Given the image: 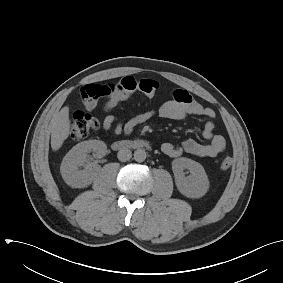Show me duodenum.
<instances>
[{"label": "duodenum", "mask_w": 283, "mask_h": 283, "mask_svg": "<svg viewBox=\"0 0 283 283\" xmlns=\"http://www.w3.org/2000/svg\"><path fill=\"white\" fill-rule=\"evenodd\" d=\"M149 147H150L149 143L142 139L118 140L113 142L112 144V148L114 150L143 149Z\"/></svg>", "instance_id": "410a0bca"}]
</instances>
